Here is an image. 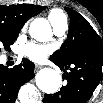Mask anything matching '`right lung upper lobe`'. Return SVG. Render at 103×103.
Wrapping results in <instances>:
<instances>
[{"label": "right lung upper lobe", "instance_id": "right-lung-upper-lobe-1", "mask_svg": "<svg viewBox=\"0 0 103 103\" xmlns=\"http://www.w3.org/2000/svg\"><path fill=\"white\" fill-rule=\"evenodd\" d=\"M44 9L45 6L31 4L1 5L0 22L12 29L21 30L28 19L39 14Z\"/></svg>", "mask_w": 103, "mask_h": 103}]
</instances>
